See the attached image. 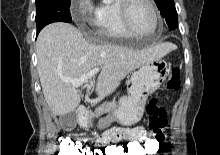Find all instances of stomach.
Returning a JSON list of instances; mask_svg holds the SVG:
<instances>
[{
	"label": "stomach",
	"mask_w": 220,
	"mask_h": 155,
	"mask_svg": "<svg viewBox=\"0 0 220 155\" xmlns=\"http://www.w3.org/2000/svg\"><path fill=\"white\" fill-rule=\"evenodd\" d=\"M168 72L169 64L161 58L134 70L127 85L128 96L121 98L119 108L110 115V121L117 120L124 126L139 122L148 97L161 87ZM105 126V120H101L98 124L99 128Z\"/></svg>",
	"instance_id": "1"
}]
</instances>
